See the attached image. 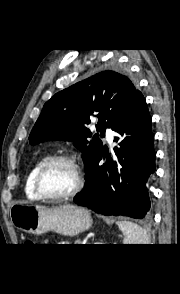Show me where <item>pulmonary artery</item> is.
<instances>
[{"label": "pulmonary artery", "instance_id": "e3ab8cb5", "mask_svg": "<svg viewBox=\"0 0 180 294\" xmlns=\"http://www.w3.org/2000/svg\"><path fill=\"white\" fill-rule=\"evenodd\" d=\"M105 131H106V139H107V142L110 143L113 139V136H114V132L111 128H108V127H105L104 128Z\"/></svg>", "mask_w": 180, "mask_h": 294}]
</instances>
